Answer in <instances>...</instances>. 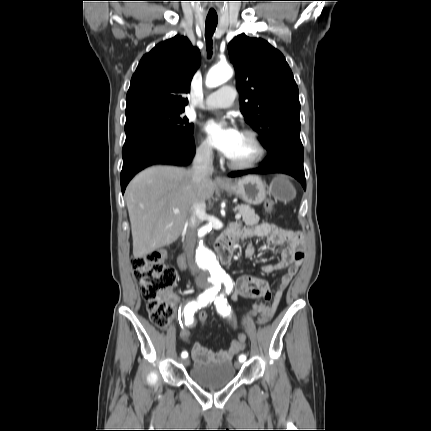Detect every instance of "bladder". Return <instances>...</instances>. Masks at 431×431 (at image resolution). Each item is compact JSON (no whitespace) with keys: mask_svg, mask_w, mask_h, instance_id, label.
<instances>
[{"mask_svg":"<svg viewBox=\"0 0 431 431\" xmlns=\"http://www.w3.org/2000/svg\"><path fill=\"white\" fill-rule=\"evenodd\" d=\"M193 382L207 389H220L236 377V368L231 361L195 365L189 371Z\"/></svg>","mask_w":431,"mask_h":431,"instance_id":"obj_1","label":"bladder"}]
</instances>
